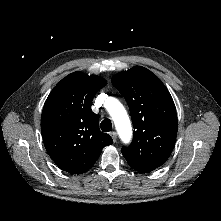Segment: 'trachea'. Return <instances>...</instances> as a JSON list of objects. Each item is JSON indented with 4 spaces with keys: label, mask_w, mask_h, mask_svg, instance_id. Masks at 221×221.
<instances>
[{
    "label": "trachea",
    "mask_w": 221,
    "mask_h": 221,
    "mask_svg": "<svg viewBox=\"0 0 221 221\" xmlns=\"http://www.w3.org/2000/svg\"><path fill=\"white\" fill-rule=\"evenodd\" d=\"M101 130L103 132H109L112 129V123L110 119H104L100 124Z\"/></svg>",
    "instance_id": "trachea-1"
}]
</instances>
